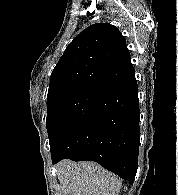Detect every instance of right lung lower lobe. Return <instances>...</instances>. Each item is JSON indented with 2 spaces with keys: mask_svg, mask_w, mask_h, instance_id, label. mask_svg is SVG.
Masks as SVG:
<instances>
[{
  "mask_svg": "<svg viewBox=\"0 0 178 195\" xmlns=\"http://www.w3.org/2000/svg\"><path fill=\"white\" fill-rule=\"evenodd\" d=\"M140 110L135 75L99 91L77 125L52 153L62 159L95 161L134 182L140 144Z\"/></svg>",
  "mask_w": 178,
  "mask_h": 195,
  "instance_id": "obj_1",
  "label": "right lung lower lobe"
}]
</instances>
